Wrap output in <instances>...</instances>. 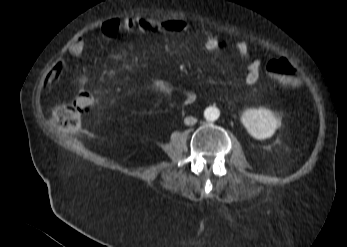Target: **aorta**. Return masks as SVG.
<instances>
[{"label":"aorta","mask_w":347,"mask_h":247,"mask_svg":"<svg viewBox=\"0 0 347 247\" xmlns=\"http://www.w3.org/2000/svg\"><path fill=\"white\" fill-rule=\"evenodd\" d=\"M204 116L208 121H215L219 117V111L217 109L208 108L205 110Z\"/></svg>","instance_id":"obj_1"}]
</instances>
